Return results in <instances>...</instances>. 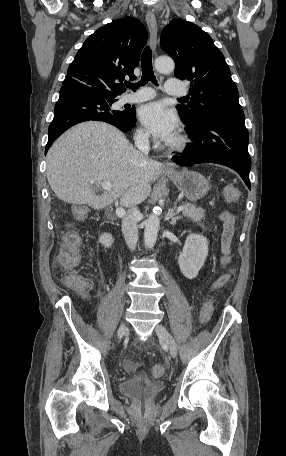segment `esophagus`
<instances>
[{"label": "esophagus", "instance_id": "34e87169", "mask_svg": "<svg viewBox=\"0 0 286 456\" xmlns=\"http://www.w3.org/2000/svg\"><path fill=\"white\" fill-rule=\"evenodd\" d=\"M146 22H147V25H148V29H149V33H150V43H151V48L153 51L156 50V46H157V22H156V19H155V15L153 12L149 11L147 12L146 14ZM165 169L167 171H170V172H174L175 169L172 165H170L169 163H166L165 165Z\"/></svg>", "mask_w": 286, "mask_h": 456}]
</instances>
